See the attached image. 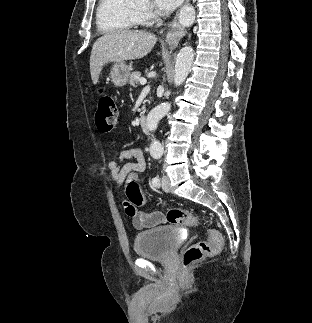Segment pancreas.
Returning a JSON list of instances; mask_svg holds the SVG:
<instances>
[{
	"label": "pancreas",
	"mask_w": 312,
	"mask_h": 323,
	"mask_svg": "<svg viewBox=\"0 0 312 323\" xmlns=\"http://www.w3.org/2000/svg\"><path fill=\"white\" fill-rule=\"evenodd\" d=\"M141 80V74L140 72H132V74H130L129 76V84L130 86H133V88H137V86H135V84H139ZM142 110H144V106L142 108Z\"/></svg>",
	"instance_id": "pancreas-1"
}]
</instances>
